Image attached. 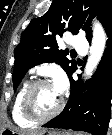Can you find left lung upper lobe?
<instances>
[{"instance_id": "5c2ea615", "label": "left lung upper lobe", "mask_w": 112, "mask_h": 135, "mask_svg": "<svg viewBox=\"0 0 112 135\" xmlns=\"http://www.w3.org/2000/svg\"><path fill=\"white\" fill-rule=\"evenodd\" d=\"M97 17L106 27L112 20L111 0H53L43 16L32 19L21 35L14 50V90L26 72L41 63L59 64L68 74L76 69V63L68 60V50H59L57 38L65 31L77 34L85 31L89 42L92 39L91 19Z\"/></svg>"}]
</instances>
